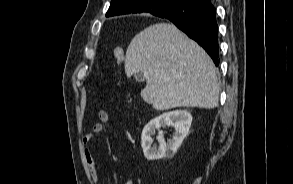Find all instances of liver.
<instances>
[{
	"label": "liver",
	"instance_id": "1",
	"mask_svg": "<svg viewBox=\"0 0 293 184\" xmlns=\"http://www.w3.org/2000/svg\"><path fill=\"white\" fill-rule=\"evenodd\" d=\"M124 66L128 77L142 72L146 87L141 97L156 110L218 105L211 58L172 24H153L138 33L127 48Z\"/></svg>",
	"mask_w": 293,
	"mask_h": 184
}]
</instances>
